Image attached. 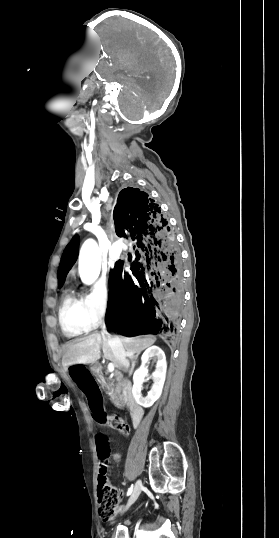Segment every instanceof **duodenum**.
I'll use <instances>...</instances> for the list:
<instances>
[{
  "mask_svg": "<svg viewBox=\"0 0 279 538\" xmlns=\"http://www.w3.org/2000/svg\"><path fill=\"white\" fill-rule=\"evenodd\" d=\"M92 369L99 374L100 381L102 384L107 385L110 383L111 378L109 375L106 374L105 371L101 369V366L99 364H94L92 366ZM111 386L113 387V391H119V392H126L128 395V399L130 400V414H131V424L130 427L132 429L140 428V423H143V417H144V411H141V406L139 405V402L135 400V396L133 395V391L131 390L132 383L129 381H117L112 382Z\"/></svg>",
  "mask_w": 279,
  "mask_h": 538,
  "instance_id": "410a0bca",
  "label": "duodenum"
}]
</instances>
